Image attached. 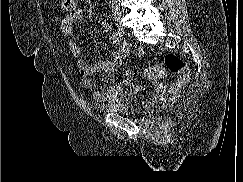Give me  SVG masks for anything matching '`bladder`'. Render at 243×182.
<instances>
[{"label": "bladder", "instance_id": "31cf9c89", "mask_svg": "<svg viewBox=\"0 0 243 182\" xmlns=\"http://www.w3.org/2000/svg\"><path fill=\"white\" fill-rule=\"evenodd\" d=\"M146 103V96L140 93L130 92L122 99L113 102L94 104L95 110L107 114H134L141 111Z\"/></svg>", "mask_w": 243, "mask_h": 182}]
</instances>
